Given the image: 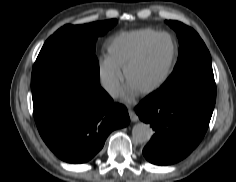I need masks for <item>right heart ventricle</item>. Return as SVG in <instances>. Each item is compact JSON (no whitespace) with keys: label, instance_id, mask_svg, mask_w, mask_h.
Segmentation results:
<instances>
[{"label":"right heart ventricle","instance_id":"1","mask_svg":"<svg viewBox=\"0 0 236 182\" xmlns=\"http://www.w3.org/2000/svg\"><path fill=\"white\" fill-rule=\"evenodd\" d=\"M156 35L153 29L123 32L111 42L107 60L119 69H125L148 45Z\"/></svg>","mask_w":236,"mask_h":182}]
</instances>
